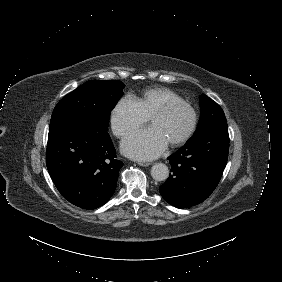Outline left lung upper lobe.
Instances as JSON below:
<instances>
[{"mask_svg": "<svg viewBox=\"0 0 282 282\" xmlns=\"http://www.w3.org/2000/svg\"><path fill=\"white\" fill-rule=\"evenodd\" d=\"M200 107V121L195 134L217 124H226V118L222 108L204 94L200 98Z\"/></svg>", "mask_w": 282, "mask_h": 282, "instance_id": "obj_1", "label": "left lung upper lobe"}]
</instances>
